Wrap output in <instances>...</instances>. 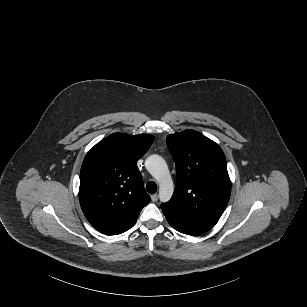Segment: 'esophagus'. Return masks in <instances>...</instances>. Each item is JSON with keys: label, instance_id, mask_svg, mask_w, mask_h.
<instances>
[{"label": "esophagus", "instance_id": "obj_1", "mask_svg": "<svg viewBox=\"0 0 307 307\" xmlns=\"http://www.w3.org/2000/svg\"><path fill=\"white\" fill-rule=\"evenodd\" d=\"M151 200H152L153 202H157V200H158V195H157V194L151 195Z\"/></svg>", "mask_w": 307, "mask_h": 307}]
</instances>
